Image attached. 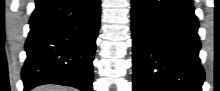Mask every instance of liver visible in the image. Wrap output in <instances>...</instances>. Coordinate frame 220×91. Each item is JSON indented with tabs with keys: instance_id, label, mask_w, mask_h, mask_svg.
<instances>
[{
	"instance_id": "obj_1",
	"label": "liver",
	"mask_w": 220,
	"mask_h": 91,
	"mask_svg": "<svg viewBox=\"0 0 220 91\" xmlns=\"http://www.w3.org/2000/svg\"><path fill=\"white\" fill-rule=\"evenodd\" d=\"M34 91H74V90L61 86L47 85V86H40L38 88H35Z\"/></svg>"
}]
</instances>
